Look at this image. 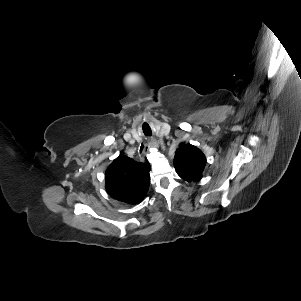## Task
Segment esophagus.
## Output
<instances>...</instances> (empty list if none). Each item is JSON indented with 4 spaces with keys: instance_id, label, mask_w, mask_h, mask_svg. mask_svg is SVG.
Instances as JSON below:
<instances>
[{
    "instance_id": "esophagus-1",
    "label": "esophagus",
    "mask_w": 301,
    "mask_h": 301,
    "mask_svg": "<svg viewBox=\"0 0 301 301\" xmlns=\"http://www.w3.org/2000/svg\"><path fill=\"white\" fill-rule=\"evenodd\" d=\"M147 145H148L149 147H152V148L158 147V143H157L156 140H148Z\"/></svg>"
}]
</instances>
